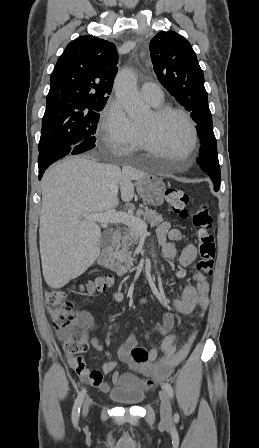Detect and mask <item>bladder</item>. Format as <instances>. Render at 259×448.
Returning a JSON list of instances; mask_svg holds the SVG:
<instances>
[{
  "label": "bladder",
  "mask_w": 259,
  "mask_h": 448,
  "mask_svg": "<svg viewBox=\"0 0 259 448\" xmlns=\"http://www.w3.org/2000/svg\"><path fill=\"white\" fill-rule=\"evenodd\" d=\"M109 398L117 404L133 406L144 400L145 392L139 387L115 388L109 392Z\"/></svg>",
  "instance_id": "bladder-1"
}]
</instances>
